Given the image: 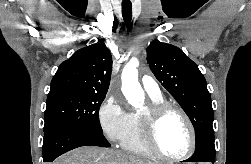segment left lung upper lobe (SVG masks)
<instances>
[{"label": "left lung upper lobe", "mask_w": 251, "mask_h": 164, "mask_svg": "<svg viewBox=\"0 0 251 164\" xmlns=\"http://www.w3.org/2000/svg\"><path fill=\"white\" fill-rule=\"evenodd\" d=\"M147 62L158 81L189 116L196 133V150L215 155L213 109L210 93L198 66L178 47L154 40Z\"/></svg>", "instance_id": "5c2ea615"}]
</instances>
